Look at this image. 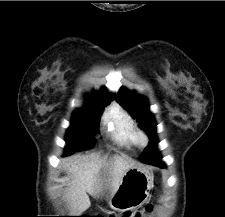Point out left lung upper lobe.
I'll return each mask as SVG.
<instances>
[{
	"instance_id": "obj_1",
	"label": "left lung upper lobe",
	"mask_w": 225,
	"mask_h": 217,
	"mask_svg": "<svg viewBox=\"0 0 225 217\" xmlns=\"http://www.w3.org/2000/svg\"><path fill=\"white\" fill-rule=\"evenodd\" d=\"M116 99L137 119L140 126L145 130L151 140L157 139L155 135L156 122L153 114L148 109V101L145 97L139 96L135 91L121 88ZM146 156V149L140 159Z\"/></svg>"
}]
</instances>
